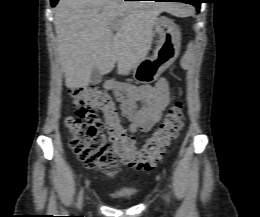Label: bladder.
I'll return each instance as SVG.
<instances>
[{
	"label": "bladder",
	"instance_id": "bladder-1",
	"mask_svg": "<svg viewBox=\"0 0 260 217\" xmlns=\"http://www.w3.org/2000/svg\"><path fill=\"white\" fill-rule=\"evenodd\" d=\"M115 199H131L130 195L116 196Z\"/></svg>",
	"mask_w": 260,
	"mask_h": 217
}]
</instances>
